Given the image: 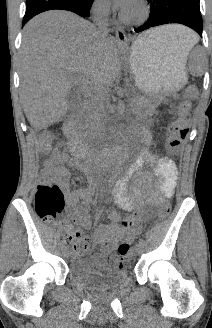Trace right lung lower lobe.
<instances>
[{"label":"right lung lower lobe","mask_w":212,"mask_h":328,"mask_svg":"<svg viewBox=\"0 0 212 328\" xmlns=\"http://www.w3.org/2000/svg\"><path fill=\"white\" fill-rule=\"evenodd\" d=\"M92 3L93 0H26L22 27L35 15L53 9L68 10L89 17Z\"/></svg>","instance_id":"obj_1"}]
</instances>
